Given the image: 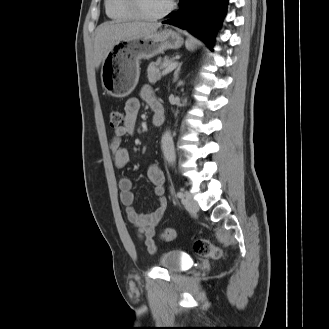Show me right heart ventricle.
I'll return each mask as SVG.
<instances>
[{
    "label": "right heart ventricle",
    "mask_w": 329,
    "mask_h": 329,
    "mask_svg": "<svg viewBox=\"0 0 329 329\" xmlns=\"http://www.w3.org/2000/svg\"><path fill=\"white\" fill-rule=\"evenodd\" d=\"M105 11L109 18L116 21L135 19L133 13L127 8L124 0H105Z\"/></svg>",
    "instance_id": "right-heart-ventricle-1"
}]
</instances>
